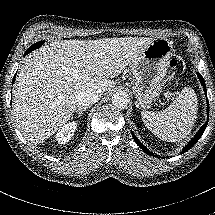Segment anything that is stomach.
<instances>
[{
  "mask_svg": "<svg viewBox=\"0 0 215 215\" xmlns=\"http://www.w3.org/2000/svg\"><path fill=\"white\" fill-rule=\"evenodd\" d=\"M172 55L171 41L154 39L130 65L132 91L141 107H148L160 95Z\"/></svg>",
  "mask_w": 215,
  "mask_h": 215,
  "instance_id": "obj_1",
  "label": "stomach"
}]
</instances>
